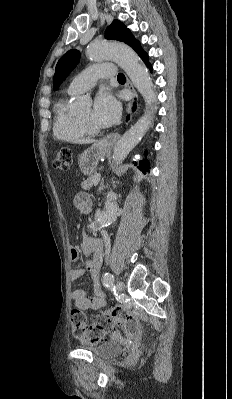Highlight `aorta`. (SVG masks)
<instances>
[{"instance_id": "762f6f07", "label": "aorta", "mask_w": 232, "mask_h": 399, "mask_svg": "<svg viewBox=\"0 0 232 399\" xmlns=\"http://www.w3.org/2000/svg\"><path fill=\"white\" fill-rule=\"evenodd\" d=\"M86 55L91 61L114 60L129 76L134 86L143 96L146 105L153 108L156 94L152 80L147 68L132 48L122 43L96 41L87 47ZM76 105L78 107L83 106L84 100L80 99ZM152 119L153 115L146 111L144 116L118 140L113 150V161L116 165L121 164L129 152L141 141L151 125ZM116 199V194L109 191L104 211H102L96 222L100 227H106L115 220L118 209ZM92 226H94V223Z\"/></svg>"}]
</instances>
